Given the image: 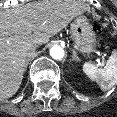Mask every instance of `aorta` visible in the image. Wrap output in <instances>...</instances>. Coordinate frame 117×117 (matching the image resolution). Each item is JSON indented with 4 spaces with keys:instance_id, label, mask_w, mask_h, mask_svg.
I'll return each mask as SVG.
<instances>
[{
    "instance_id": "1",
    "label": "aorta",
    "mask_w": 117,
    "mask_h": 117,
    "mask_svg": "<svg viewBox=\"0 0 117 117\" xmlns=\"http://www.w3.org/2000/svg\"><path fill=\"white\" fill-rule=\"evenodd\" d=\"M65 55L62 47L55 45L50 49V56L55 60H61Z\"/></svg>"
}]
</instances>
